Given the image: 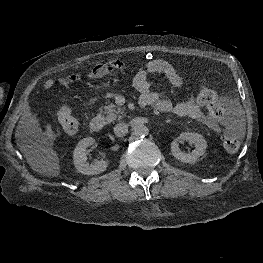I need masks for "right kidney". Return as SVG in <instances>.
<instances>
[{
  "label": "right kidney",
  "mask_w": 263,
  "mask_h": 263,
  "mask_svg": "<svg viewBox=\"0 0 263 263\" xmlns=\"http://www.w3.org/2000/svg\"><path fill=\"white\" fill-rule=\"evenodd\" d=\"M95 144V139L87 137L79 141L73 152L74 165L78 172L84 175H96L104 172L108 164L104 160L95 161L93 164L87 163L86 149Z\"/></svg>",
  "instance_id": "ca27d5eb"
}]
</instances>
